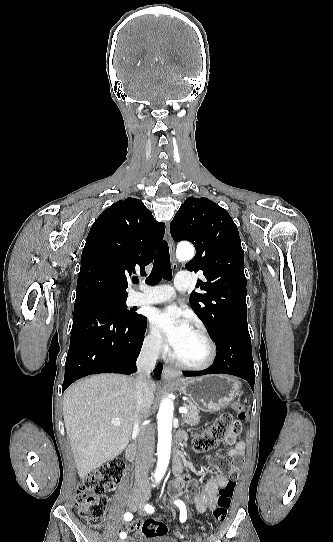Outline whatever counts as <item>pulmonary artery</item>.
I'll list each match as a JSON object with an SVG mask.
<instances>
[{
  "instance_id": "obj_1",
  "label": "pulmonary artery",
  "mask_w": 333,
  "mask_h": 542,
  "mask_svg": "<svg viewBox=\"0 0 333 542\" xmlns=\"http://www.w3.org/2000/svg\"><path fill=\"white\" fill-rule=\"evenodd\" d=\"M190 281V276L184 271L176 273V288L179 292H184L187 289V283ZM140 289H132L131 293H138ZM144 300H136L135 305H157L171 302L175 299L177 292H171V287L166 284H147L143 288Z\"/></svg>"
}]
</instances>
